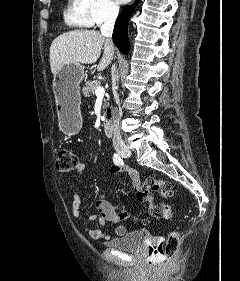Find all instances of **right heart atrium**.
Masks as SVG:
<instances>
[{"mask_svg":"<svg viewBox=\"0 0 240 281\" xmlns=\"http://www.w3.org/2000/svg\"><path fill=\"white\" fill-rule=\"evenodd\" d=\"M90 12L93 23L96 25L103 24L114 20L118 13L119 8L113 0H90Z\"/></svg>","mask_w":240,"mask_h":281,"instance_id":"right-heart-atrium-1","label":"right heart atrium"}]
</instances>
